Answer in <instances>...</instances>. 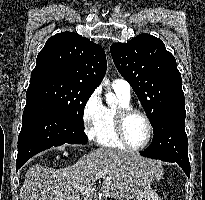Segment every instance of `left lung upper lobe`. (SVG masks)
Listing matches in <instances>:
<instances>
[{"label": "left lung upper lobe", "mask_w": 205, "mask_h": 200, "mask_svg": "<svg viewBox=\"0 0 205 200\" xmlns=\"http://www.w3.org/2000/svg\"><path fill=\"white\" fill-rule=\"evenodd\" d=\"M119 73L129 82L153 128L169 108L184 104L181 74L164 43L140 34L127 43L110 47Z\"/></svg>", "instance_id": "obj_1"}]
</instances>
